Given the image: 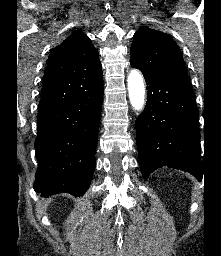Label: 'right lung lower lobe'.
Returning <instances> with one entry per match:
<instances>
[{"instance_id":"98d812e1","label":"right lung lower lobe","mask_w":221,"mask_h":256,"mask_svg":"<svg viewBox=\"0 0 221 256\" xmlns=\"http://www.w3.org/2000/svg\"><path fill=\"white\" fill-rule=\"evenodd\" d=\"M102 103L103 88L38 111L36 192L44 197L62 192L80 197L87 191L95 169Z\"/></svg>"}]
</instances>
